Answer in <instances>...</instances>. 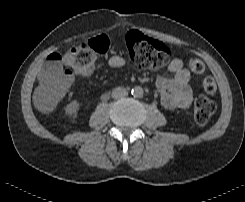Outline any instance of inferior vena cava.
Listing matches in <instances>:
<instances>
[{"label": "inferior vena cava", "mask_w": 245, "mask_h": 202, "mask_svg": "<svg viewBox=\"0 0 245 202\" xmlns=\"http://www.w3.org/2000/svg\"><path fill=\"white\" fill-rule=\"evenodd\" d=\"M128 95V92L125 88L117 87L112 91V98L118 99Z\"/></svg>", "instance_id": "602c4592"}]
</instances>
